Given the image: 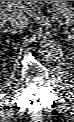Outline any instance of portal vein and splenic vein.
Instances as JSON below:
<instances>
[{
    "instance_id": "1",
    "label": "portal vein and splenic vein",
    "mask_w": 74,
    "mask_h": 122,
    "mask_svg": "<svg viewBox=\"0 0 74 122\" xmlns=\"http://www.w3.org/2000/svg\"><path fill=\"white\" fill-rule=\"evenodd\" d=\"M5 9L8 11H12L13 9H25L26 6L23 4V1H6L4 5ZM53 20L60 21V18L58 17V14H53ZM63 23V22H61Z\"/></svg>"
}]
</instances>
